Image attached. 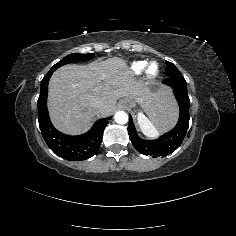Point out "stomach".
<instances>
[{"instance_id":"0dacf381","label":"stomach","mask_w":236,"mask_h":236,"mask_svg":"<svg viewBox=\"0 0 236 236\" xmlns=\"http://www.w3.org/2000/svg\"><path fill=\"white\" fill-rule=\"evenodd\" d=\"M144 87L146 88L148 92L152 94L159 95L164 92L163 88L160 87V83L158 82H154V81L147 82L146 84H144ZM123 103L127 104L128 108H133V107H136L137 105V102L134 99H131L129 97H125L122 100H120L119 105Z\"/></svg>"}]
</instances>
